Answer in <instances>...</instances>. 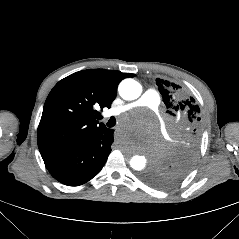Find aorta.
<instances>
[{"mask_svg": "<svg viewBox=\"0 0 239 239\" xmlns=\"http://www.w3.org/2000/svg\"><path fill=\"white\" fill-rule=\"evenodd\" d=\"M120 96L125 100H135L142 92V86L133 79H124L118 88ZM148 158L142 155H134L130 159V166L138 171L143 170L148 163Z\"/></svg>", "mask_w": 239, "mask_h": 239, "instance_id": "1", "label": "aorta"}]
</instances>
